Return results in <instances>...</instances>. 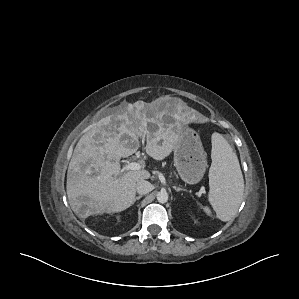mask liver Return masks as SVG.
Segmentation results:
<instances>
[{"label":"liver","instance_id":"obj_1","mask_svg":"<svg viewBox=\"0 0 299 299\" xmlns=\"http://www.w3.org/2000/svg\"><path fill=\"white\" fill-rule=\"evenodd\" d=\"M168 107L159 102L146 105L123 103L113 114L99 120L75 146L67 171V196L73 212L85 219L91 215L121 212L129 208L139 180L147 170L121 172L120 159L135 153L139 137H146V153L163 160L175 147L173 124H165Z\"/></svg>","mask_w":299,"mask_h":299}]
</instances>
